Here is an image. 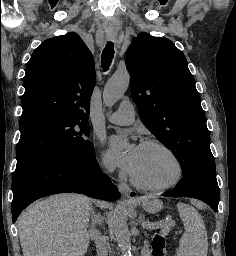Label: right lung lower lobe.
Instances as JSON below:
<instances>
[{
    "instance_id": "obj_1",
    "label": "right lung lower lobe",
    "mask_w": 236,
    "mask_h": 256,
    "mask_svg": "<svg viewBox=\"0 0 236 256\" xmlns=\"http://www.w3.org/2000/svg\"><path fill=\"white\" fill-rule=\"evenodd\" d=\"M12 219L33 201L57 193H84L108 201L120 193L102 173L93 152L86 154L49 153L16 165L12 179Z\"/></svg>"
}]
</instances>
